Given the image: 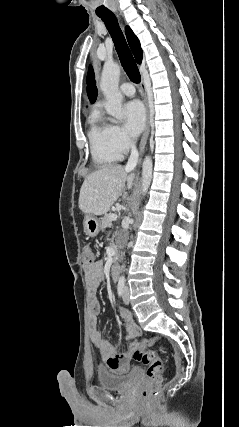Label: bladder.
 Returning a JSON list of instances; mask_svg holds the SVG:
<instances>
[{
    "mask_svg": "<svg viewBox=\"0 0 239 427\" xmlns=\"http://www.w3.org/2000/svg\"><path fill=\"white\" fill-rule=\"evenodd\" d=\"M139 374L138 368H131L126 373H113L100 369L97 373V381L102 388L107 390H125L136 381Z\"/></svg>",
    "mask_w": 239,
    "mask_h": 427,
    "instance_id": "bladder-1",
    "label": "bladder"
}]
</instances>
